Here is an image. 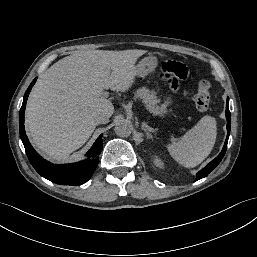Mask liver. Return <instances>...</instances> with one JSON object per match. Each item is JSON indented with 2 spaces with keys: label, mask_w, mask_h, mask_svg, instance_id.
I'll list each match as a JSON object with an SVG mask.
<instances>
[{
  "label": "liver",
  "mask_w": 257,
  "mask_h": 257,
  "mask_svg": "<svg viewBox=\"0 0 257 257\" xmlns=\"http://www.w3.org/2000/svg\"><path fill=\"white\" fill-rule=\"evenodd\" d=\"M145 50L77 52L54 63L32 89L26 107L28 135L51 159L79 149L96 128L99 114L114 112L104 89L127 91L135 63Z\"/></svg>",
  "instance_id": "liver-1"
}]
</instances>
